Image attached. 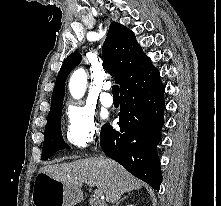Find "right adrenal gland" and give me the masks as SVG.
<instances>
[{"label":"right adrenal gland","mask_w":221,"mask_h":206,"mask_svg":"<svg viewBox=\"0 0 221 206\" xmlns=\"http://www.w3.org/2000/svg\"><path fill=\"white\" fill-rule=\"evenodd\" d=\"M128 196H124L122 199H120L119 201L116 202V204L114 206H119V204L121 202H123L125 199H127Z\"/></svg>","instance_id":"right-adrenal-gland-1"}]
</instances>
